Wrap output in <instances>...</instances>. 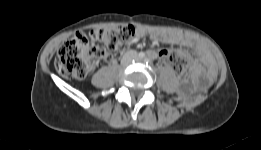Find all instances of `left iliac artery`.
Segmentation results:
<instances>
[{
    "mask_svg": "<svg viewBox=\"0 0 261 150\" xmlns=\"http://www.w3.org/2000/svg\"><path fill=\"white\" fill-rule=\"evenodd\" d=\"M146 62H147V64H148V63H151V59L147 58V59H146Z\"/></svg>",
    "mask_w": 261,
    "mask_h": 150,
    "instance_id": "left-iliac-artery-1",
    "label": "left iliac artery"
}]
</instances>
